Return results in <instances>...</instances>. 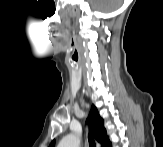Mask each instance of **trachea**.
I'll use <instances>...</instances> for the list:
<instances>
[{"mask_svg":"<svg viewBox=\"0 0 163 147\" xmlns=\"http://www.w3.org/2000/svg\"><path fill=\"white\" fill-rule=\"evenodd\" d=\"M88 140H89V146L90 147H95L96 144H95V141L93 140L92 136L89 134L88 135Z\"/></svg>","mask_w":163,"mask_h":147,"instance_id":"obj_1","label":"trachea"}]
</instances>
